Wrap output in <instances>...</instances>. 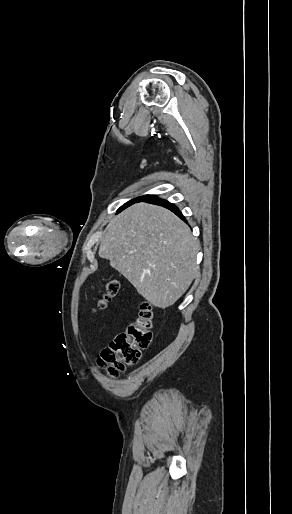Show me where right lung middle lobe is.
Returning <instances> with one entry per match:
<instances>
[{"mask_svg":"<svg viewBox=\"0 0 292 514\" xmlns=\"http://www.w3.org/2000/svg\"><path fill=\"white\" fill-rule=\"evenodd\" d=\"M144 197H145V196L137 197V198H135V199H133V200H131V201H129V202H127V203H125L122 207H120L119 211H121V210L125 209L126 207H128V206H130V205H132V204H134V203H136V202L141 201Z\"/></svg>","mask_w":292,"mask_h":514,"instance_id":"1","label":"right lung middle lobe"}]
</instances>
